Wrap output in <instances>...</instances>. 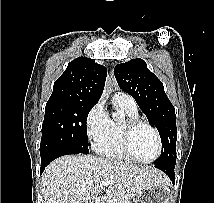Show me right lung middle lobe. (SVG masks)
I'll use <instances>...</instances> for the list:
<instances>
[{"instance_id": "dd1d6c3e", "label": "right lung middle lobe", "mask_w": 214, "mask_h": 203, "mask_svg": "<svg viewBox=\"0 0 214 203\" xmlns=\"http://www.w3.org/2000/svg\"><path fill=\"white\" fill-rule=\"evenodd\" d=\"M95 104L48 101L42 125L40 155L63 149L88 154L86 121Z\"/></svg>"}]
</instances>
